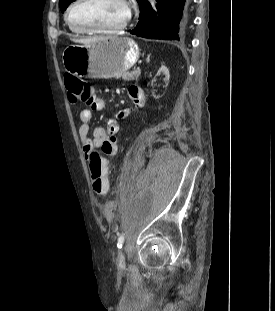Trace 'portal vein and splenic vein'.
<instances>
[{"label": "portal vein and splenic vein", "mask_w": 275, "mask_h": 311, "mask_svg": "<svg viewBox=\"0 0 275 311\" xmlns=\"http://www.w3.org/2000/svg\"><path fill=\"white\" fill-rule=\"evenodd\" d=\"M136 71H137L138 73H140V72H141V70H140V68H139V67L137 68V70H136Z\"/></svg>", "instance_id": "18ae733b"}]
</instances>
